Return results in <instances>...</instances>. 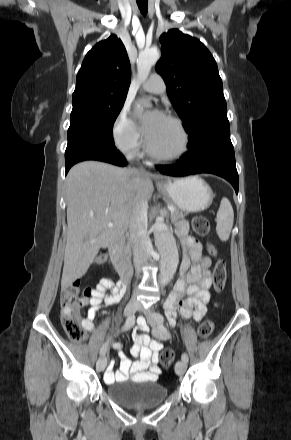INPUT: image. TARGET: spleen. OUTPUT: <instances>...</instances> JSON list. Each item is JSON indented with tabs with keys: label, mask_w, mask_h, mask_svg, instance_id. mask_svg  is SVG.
Returning a JSON list of instances; mask_svg holds the SVG:
<instances>
[{
	"label": "spleen",
	"mask_w": 291,
	"mask_h": 440,
	"mask_svg": "<svg viewBox=\"0 0 291 440\" xmlns=\"http://www.w3.org/2000/svg\"><path fill=\"white\" fill-rule=\"evenodd\" d=\"M234 220V212L230 201L224 197L221 200L219 210L217 212L216 232L222 241L229 239Z\"/></svg>",
	"instance_id": "obj_1"
}]
</instances>
